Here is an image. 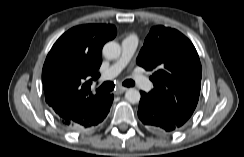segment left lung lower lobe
Masks as SVG:
<instances>
[{"label": "left lung lower lobe", "instance_id": "obj_1", "mask_svg": "<svg viewBox=\"0 0 244 157\" xmlns=\"http://www.w3.org/2000/svg\"><path fill=\"white\" fill-rule=\"evenodd\" d=\"M138 117L153 133L171 134L179 130L183 124L175 120L169 109L151 93L141 91Z\"/></svg>", "mask_w": 244, "mask_h": 157}]
</instances>
